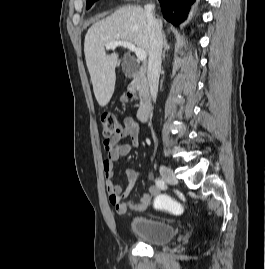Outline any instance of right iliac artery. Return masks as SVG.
Listing matches in <instances>:
<instances>
[{
  "label": "right iliac artery",
  "instance_id": "right-iliac-artery-1",
  "mask_svg": "<svg viewBox=\"0 0 265 269\" xmlns=\"http://www.w3.org/2000/svg\"><path fill=\"white\" fill-rule=\"evenodd\" d=\"M155 182H156L157 187L160 188L161 190L166 189V183L163 179L157 178Z\"/></svg>",
  "mask_w": 265,
  "mask_h": 269
}]
</instances>
